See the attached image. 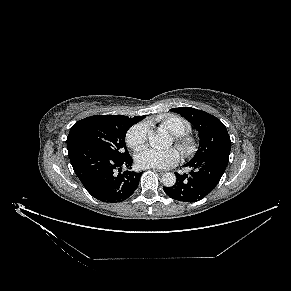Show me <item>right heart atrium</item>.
<instances>
[{
  "instance_id": "right-heart-atrium-1",
  "label": "right heart atrium",
  "mask_w": 291,
  "mask_h": 291,
  "mask_svg": "<svg viewBox=\"0 0 291 291\" xmlns=\"http://www.w3.org/2000/svg\"><path fill=\"white\" fill-rule=\"evenodd\" d=\"M148 127L145 123H138L132 126L126 134L127 145L137 150L144 145L147 140Z\"/></svg>"
}]
</instances>
